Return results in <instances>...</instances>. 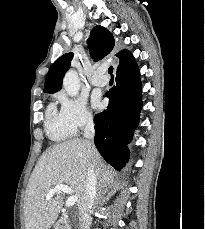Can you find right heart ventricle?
Segmentation results:
<instances>
[{
  "label": "right heart ventricle",
  "instance_id": "right-heart-ventricle-1",
  "mask_svg": "<svg viewBox=\"0 0 205 229\" xmlns=\"http://www.w3.org/2000/svg\"><path fill=\"white\" fill-rule=\"evenodd\" d=\"M45 129L48 137L55 142L65 141L74 135V131L64 121L61 112L51 103L45 114Z\"/></svg>",
  "mask_w": 205,
  "mask_h": 229
}]
</instances>
